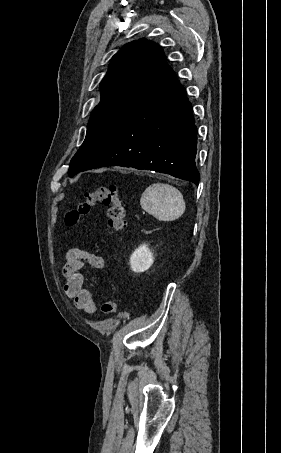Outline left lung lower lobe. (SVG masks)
<instances>
[{"instance_id":"left-lung-lower-lobe-1","label":"left lung lower lobe","mask_w":281,"mask_h":453,"mask_svg":"<svg viewBox=\"0 0 281 453\" xmlns=\"http://www.w3.org/2000/svg\"><path fill=\"white\" fill-rule=\"evenodd\" d=\"M196 135L191 104L166 63L109 142L70 177L89 169L122 166L166 173L198 184Z\"/></svg>"}]
</instances>
